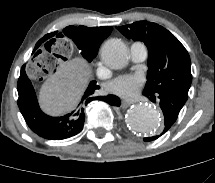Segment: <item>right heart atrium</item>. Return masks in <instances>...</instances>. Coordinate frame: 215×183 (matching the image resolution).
I'll return each instance as SVG.
<instances>
[{
	"instance_id": "1",
	"label": "right heart atrium",
	"mask_w": 215,
	"mask_h": 183,
	"mask_svg": "<svg viewBox=\"0 0 215 183\" xmlns=\"http://www.w3.org/2000/svg\"><path fill=\"white\" fill-rule=\"evenodd\" d=\"M99 75H100V76H104L103 73H102L100 70H99Z\"/></svg>"
}]
</instances>
